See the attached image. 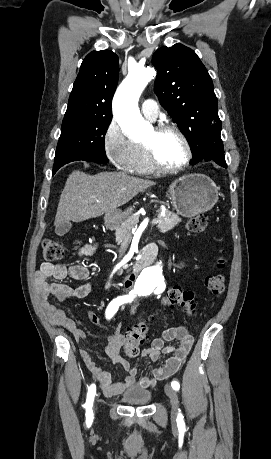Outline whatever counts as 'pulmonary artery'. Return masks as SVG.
I'll return each mask as SVG.
<instances>
[{
	"mask_svg": "<svg viewBox=\"0 0 271 459\" xmlns=\"http://www.w3.org/2000/svg\"><path fill=\"white\" fill-rule=\"evenodd\" d=\"M141 112L146 118L150 120H155L160 113V108L156 101L152 99H147L144 100L141 105Z\"/></svg>",
	"mask_w": 271,
	"mask_h": 459,
	"instance_id": "pulmonary-artery-1",
	"label": "pulmonary artery"
}]
</instances>
